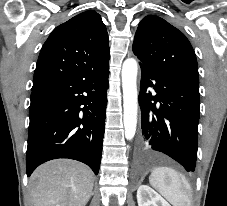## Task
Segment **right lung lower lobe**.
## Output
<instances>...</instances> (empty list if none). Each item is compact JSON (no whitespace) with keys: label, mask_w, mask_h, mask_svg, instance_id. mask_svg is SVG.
Returning <instances> with one entry per match:
<instances>
[{"label":"right lung lower lobe","mask_w":227,"mask_h":206,"mask_svg":"<svg viewBox=\"0 0 227 206\" xmlns=\"http://www.w3.org/2000/svg\"><path fill=\"white\" fill-rule=\"evenodd\" d=\"M108 75L109 62L33 84L27 176L40 164L56 158L81 161L98 174L105 130Z\"/></svg>","instance_id":"1"}]
</instances>
